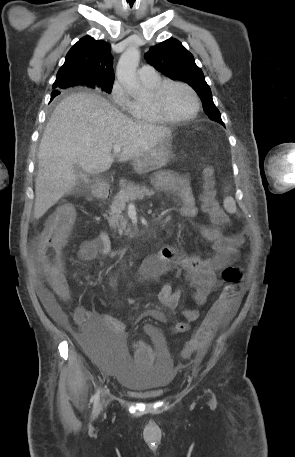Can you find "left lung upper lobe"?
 I'll list each match as a JSON object with an SVG mask.
<instances>
[{"label":"left lung upper lobe","instance_id":"5c2ea615","mask_svg":"<svg viewBox=\"0 0 295 457\" xmlns=\"http://www.w3.org/2000/svg\"><path fill=\"white\" fill-rule=\"evenodd\" d=\"M149 64L166 77L190 85L202 101L208 117L224 125L219 110L214 105L210 87L205 81L202 70L195 64L193 55L175 38L167 39L145 54Z\"/></svg>","mask_w":295,"mask_h":457}]
</instances>
